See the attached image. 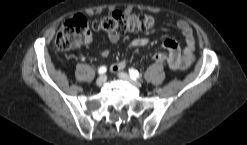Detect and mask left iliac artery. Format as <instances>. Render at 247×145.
I'll use <instances>...</instances> for the list:
<instances>
[{"mask_svg":"<svg viewBox=\"0 0 247 145\" xmlns=\"http://www.w3.org/2000/svg\"><path fill=\"white\" fill-rule=\"evenodd\" d=\"M129 74H130V77L134 80L138 79L141 77V75L139 74V72L133 68L129 69Z\"/></svg>","mask_w":247,"mask_h":145,"instance_id":"left-iliac-artery-1","label":"left iliac artery"}]
</instances>
